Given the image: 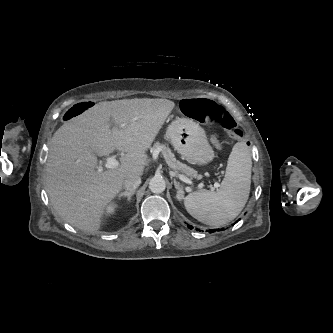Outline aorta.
Here are the masks:
<instances>
[{
	"mask_svg": "<svg viewBox=\"0 0 333 333\" xmlns=\"http://www.w3.org/2000/svg\"><path fill=\"white\" fill-rule=\"evenodd\" d=\"M166 188V182L161 176H154L149 182V189L153 193H162Z\"/></svg>",
	"mask_w": 333,
	"mask_h": 333,
	"instance_id": "1",
	"label": "aorta"
}]
</instances>
